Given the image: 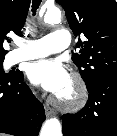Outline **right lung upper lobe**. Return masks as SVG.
<instances>
[{"mask_svg": "<svg viewBox=\"0 0 117 136\" xmlns=\"http://www.w3.org/2000/svg\"><path fill=\"white\" fill-rule=\"evenodd\" d=\"M30 6V0H0V59L7 51L3 48L8 35L15 33L21 36Z\"/></svg>", "mask_w": 117, "mask_h": 136, "instance_id": "1", "label": "right lung upper lobe"}]
</instances>
